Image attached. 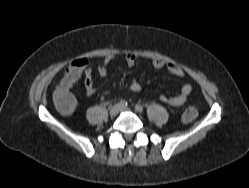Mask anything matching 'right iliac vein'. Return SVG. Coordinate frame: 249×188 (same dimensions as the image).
<instances>
[{"label":"right iliac vein","instance_id":"right-iliac-vein-1","mask_svg":"<svg viewBox=\"0 0 249 188\" xmlns=\"http://www.w3.org/2000/svg\"><path fill=\"white\" fill-rule=\"evenodd\" d=\"M118 112H119V106H118V105L112 106V107L110 108V110H109V114H110V116H112V117L116 116V115L118 114Z\"/></svg>","mask_w":249,"mask_h":188}]
</instances>
